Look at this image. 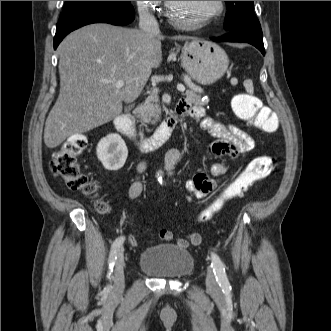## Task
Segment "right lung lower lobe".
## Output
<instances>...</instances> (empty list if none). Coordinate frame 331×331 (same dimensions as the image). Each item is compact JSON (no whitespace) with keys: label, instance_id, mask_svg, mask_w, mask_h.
Wrapping results in <instances>:
<instances>
[{"label":"right lung lower lobe","instance_id":"98d812e1","mask_svg":"<svg viewBox=\"0 0 331 331\" xmlns=\"http://www.w3.org/2000/svg\"><path fill=\"white\" fill-rule=\"evenodd\" d=\"M135 18L131 4L95 9L77 15L65 21L58 22L54 37V49L62 39L71 31L92 23H109L117 26H125Z\"/></svg>","mask_w":331,"mask_h":331}]
</instances>
